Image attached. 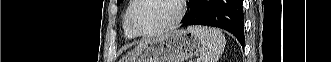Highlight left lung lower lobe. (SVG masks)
<instances>
[{"label":"left lung lower lobe","instance_id":"obj_1","mask_svg":"<svg viewBox=\"0 0 331 62\" xmlns=\"http://www.w3.org/2000/svg\"><path fill=\"white\" fill-rule=\"evenodd\" d=\"M182 27L207 25L231 32L244 46L243 0H189Z\"/></svg>","mask_w":331,"mask_h":62}]
</instances>
